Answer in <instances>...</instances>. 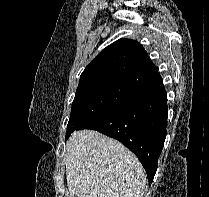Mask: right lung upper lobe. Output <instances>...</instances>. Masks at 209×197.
<instances>
[{
  "label": "right lung upper lobe",
  "mask_w": 209,
  "mask_h": 197,
  "mask_svg": "<svg viewBox=\"0 0 209 197\" xmlns=\"http://www.w3.org/2000/svg\"><path fill=\"white\" fill-rule=\"evenodd\" d=\"M87 81H113L141 91L160 83L162 78L143 46L122 38L88 64L80 76V82Z\"/></svg>",
  "instance_id": "1"
}]
</instances>
